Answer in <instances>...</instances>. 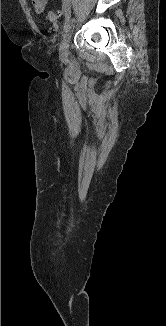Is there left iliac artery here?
I'll use <instances>...</instances> for the list:
<instances>
[{
    "label": "left iliac artery",
    "mask_w": 166,
    "mask_h": 326,
    "mask_svg": "<svg viewBox=\"0 0 166 326\" xmlns=\"http://www.w3.org/2000/svg\"><path fill=\"white\" fill-rule=\"evenodd\" d=\"M70 17H71V13L70 11L66 12V15H65V20H64V30L67 28L68 24H69V21H70Z\"/></svg>",
    "instance_id": "1"
}]
</instances>
